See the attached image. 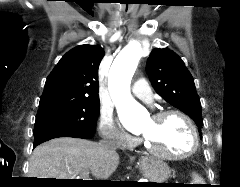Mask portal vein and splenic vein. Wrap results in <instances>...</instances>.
<instances>
[{
	"label": "portal vein and splenic vein",
	"mask_w": 240,
	"mask_h": 187,
	"mask_svg": "<svg viewBox=\"0 0 240 187\" xmlns=\"http://www.w3.org/2000/svg\"><path fill=\"white\" fill-rule=\"evenodd\" d=\"M88 174H89V172H85L84 174H82V177L83 178H88Z\"/></svg>",
	"instance_id": "1"
}]
</instances>
